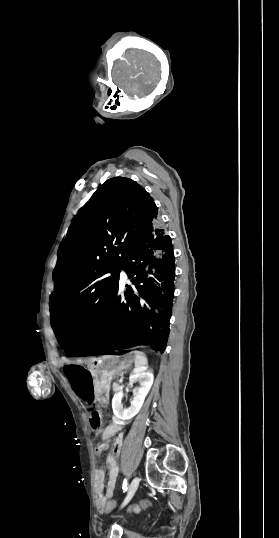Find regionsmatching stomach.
Returning a JSON list of instances; mask_svg holds the SVG:
<instances>
[{"label": "stomach", "instance_id": "stomach-1", "mask_svg": "<svg viewBox=\"0 0 279 538\" xmlns=\"http://www.w3.org/2000/svg\"><path fill=\"white\" fill-rule=\"evenodd\" d=\"M99 367L96 375L98 378L95 397L100 408L105 409L109 405L111 378H116L120 370H128L133 362L132 353H101Z\"/></svg>", "mask_w": 279, "mask_h": 538}]
</instances>
